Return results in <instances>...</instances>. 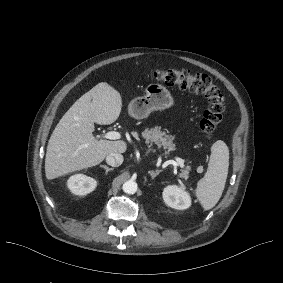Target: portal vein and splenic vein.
Listing matches in <instances>:
<instances>
[{
    "label": "portal vein and splenic vein",
    "mask_w": 283,
    "mask_h": 283,
    "mask_svg": "<svg viewBox=\"0 0 283 283\" xmlns=\"http://www.w3.org/2000/svg\"><path fill=\"white\" fill-rule=\"evenodd\" d=\"M107 138L112 139V140H119V139L122 138V134L120 132H117V131H111V132L107 133ZM163 155L166 158H170V156L165 152H163ZM173 159L176 163V166H177V164L183 165V159L182 158L174 156Z\"/></svg>",
    "instance_id": "portal-vein-and-splenic-vein-1"
}]
</instances>
